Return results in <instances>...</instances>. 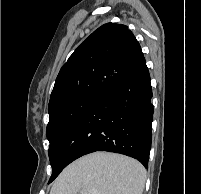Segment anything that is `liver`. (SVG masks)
Listing matches in <instances>:
<instances>
[{"label":"liver","mask_w":201,"mask_h":194,"mask_svg":"<svg viewBox=\"0 0 201 194\" xmlns=\"http://www.w3.org/2000/svg\"><path fill=\"white\" fill-rule=\"evenodd\" d=\"M145 180L146 170L137 160L95 152L67 166L50 194H142Z\"/></svg>","instance_id":"obj_1"}]
</instances>
